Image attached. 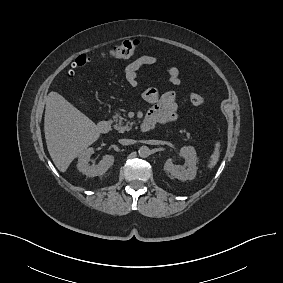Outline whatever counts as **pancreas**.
<instances>
[{"label":"pancreas","mask_w":283,"mask_h":283,"mask_svg":"<svg viewBox=\"0 0 283 283\" xmlns=\"http://www.w3.org/2000/svg\"><path fill=\"white\" fill-rule=\"evenodd\" d=\"M114 121H115L114 128L119 132L129 131L131 130L133 125L132 122H129L127 121L126 118L122 117L120 113H116V115L114 116ZM124 121L125 122L127 121L125 126H124ZM186 137L190 138L191 137L190 133L186 132Z\"/></svg>","instance_id":"1"}]
</instances>
